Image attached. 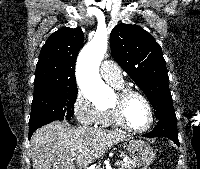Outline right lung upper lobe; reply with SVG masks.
Masks as SVG:
<instances>
[{"label": "right lung upper lobe", "instance_id": "right-lung-upper-lobe-1", "mask_svg": "<svg viewBox=\"0 0 200 169\" xmlns=\"http://www.w3.org/2000/svg\"><path fill=\"white\" fill-rule=\"evenodd\" d=\"M83 40L80 27L62 28L50 35L36 66L35 90L76 85L75 62Z\"/></svg>", "mask_w": 200, "mask_h": 169}]
</instances>
